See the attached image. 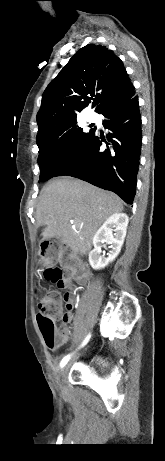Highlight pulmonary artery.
Segmentation results:
<instances>
[{
  "label": "pulmonary artery",
  "instance_id": "1",
  "mask_svg": "<svg viewBox=\"0 0 165 461\" xmlns=\"http://www.w3.org/2000/svg\"><path fill=\"white\" fill-rule=\"evenodd\" d=\"M86 118L88 121H91V122L95 120V117L93 115H87Z\"/></svg>",
  "mask_w": 165,
  "mask_h": 461
}]
</instances>
